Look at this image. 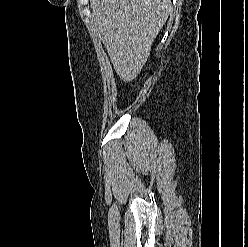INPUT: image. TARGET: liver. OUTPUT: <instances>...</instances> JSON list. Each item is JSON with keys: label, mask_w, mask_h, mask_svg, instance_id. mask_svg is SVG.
<instances>
[{"label": "liver", "mask_w": 248, "mask_h": 247, "mask_svg": "<svg viewBox=\"0 0 248 247\" xmlns=\"http://www.w3.org/2000/svg\"><path fill=\"white\" fill-rule=\"evenodd\" d=\"M93 20L124 82L137 77L171 10L170 0H90Z\"/></svg>", "instance_id": "1"}]
</instances>
